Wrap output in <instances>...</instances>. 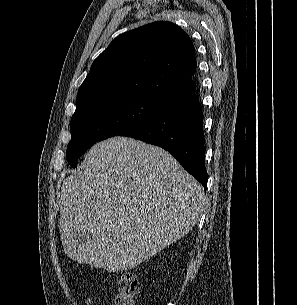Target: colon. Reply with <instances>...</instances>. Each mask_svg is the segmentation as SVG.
<instances>
[{
    "label": "colon",
    "mask_w": 297,
    "mask_h": 305,
    "mask_svg": "<svg viewBox=\"0 0 297 305\" xmlns=\"http://www.w3.org/2000/svg\"><path fill=\"white\" fill-rule=\"evenodd\" d=\"M139 284L131 272L121 275L117 283L112 305H136Z\"/></svg>",
    "instance_id": "colon-1"
}]
</instances>
